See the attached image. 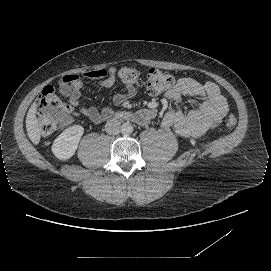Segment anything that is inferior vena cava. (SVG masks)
Wrapping results in <instances>:
<instances>
[{
	"label": "inferior vena cava",
	"instance_id": "obj_1",
	"mask_svg": "<svg viewBox=\"0 0 271 271\" xmlns=\"http://www.w3.org/2000/svg\"><path fill=\"white\" fill-rule=\"evenodd\" d=\"M106 132L111 135H118L121 131V123L118 119L109 120L106 123Z\"/></svg>",
	"mask_w": 271,
	"mask_h": 271
}]
</instances>
